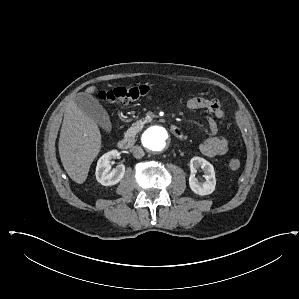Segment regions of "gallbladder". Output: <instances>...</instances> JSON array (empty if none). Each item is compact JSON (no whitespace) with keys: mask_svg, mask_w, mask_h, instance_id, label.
Segmentation results:
<instances>
[{"mask_svg":"<svg viewBox=\"0 0 299 299\" xmlns=\"http://www.w3.org/2000/svg\"><path fill=\"white\" fill-rule=\"evenodd\" d=\"M74 102L104 130L108 131L111 128V122L107 111L95 97L87 93H78L74 97Z\"/></svg>","mask_w":299,"mask_h":299,"instance_id":"obj_1","label":"gallbladder"}]
</instances>
